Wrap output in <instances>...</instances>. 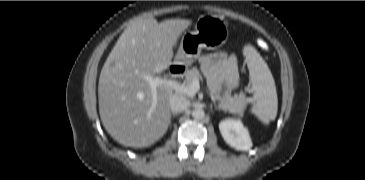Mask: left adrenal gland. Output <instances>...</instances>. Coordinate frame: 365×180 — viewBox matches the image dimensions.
<instances>
[{"label":"left adrenal gland","mask_w":365,"mask_h":180,"mask_svg":"<svg viewBox=\"0 0 365 180\" xmlns=\"http://www.w3.org/2000/svg\"><path fill=\"white\" fill-rule=\"evenodd\" d=\"M215 109H216V110H221V108H220V107H217V106H215Z\"/></svg>","instance_id":"1"}]
</instances>
